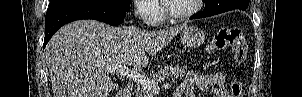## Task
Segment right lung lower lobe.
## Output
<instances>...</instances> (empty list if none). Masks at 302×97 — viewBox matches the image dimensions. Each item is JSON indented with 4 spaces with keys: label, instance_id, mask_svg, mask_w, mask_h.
<instances>
[{
    "label": "right lung lower lobe",
    "instance_id": "right-lung-lower-lobe-1",
    "mask_svg": "<svg viewBox=\"0 0 302 97\" xmlns=\"http://www.w3.org/2000/svg\"><path fill=\"white\" fill-rule=\"evenodd\" d=\"M127 11L99 0H80L49 6L45 18L43 48L63 25L80 20L94 19L116 26L124 21Z\"/></svg>",
    "mask_w": 302,
    "mask_h": 97
}]
</instances>
